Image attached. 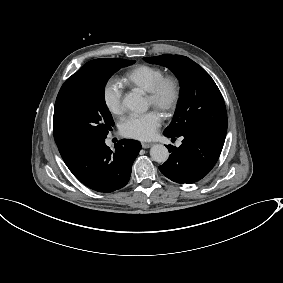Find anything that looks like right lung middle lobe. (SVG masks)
Wrapping results in <instances>:
<instances>
[{
	"label": "right lung middle lobe",
	"mask_w": 283,
	"mask_h": 283,
	"mask_svg": "<svg viewBox=\"0 0 283 283\" xmlns=\"http://www.w3.org/2000/svg\"><path fill=\"white\" fill-rule=\"evenodd\" d=\"M134 60L103 58L86 63L61 87L54 109L55 140L86 147L107 137L114 125L106 106L104 89L108 79Z\"/></svg>",
	"instance_id": "1"
}]
</instances>
